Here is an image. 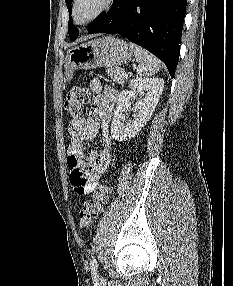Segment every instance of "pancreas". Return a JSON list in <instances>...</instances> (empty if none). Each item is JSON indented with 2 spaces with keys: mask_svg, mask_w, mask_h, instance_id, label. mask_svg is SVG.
Here are the masks:
<instances>
[{
  "mask_svg": "<svg viewBox=\"0 0 233 286\" xmlns=\"http://www.w3.org/2000/svg\"><path fill=\"white\" fill-rule=\"evenodd\" d=\"M107 73L110 76V78L119 83V84H123L127 81L128 77H125L123 74L125 73L124 69L122 68H108L107 69Z\"/></svg>",
  "mask_w": 233,
  "mask_h": 286,
  "instance_id": "cf45deb5",
  "label": "pancreas"
}]
</instances>
